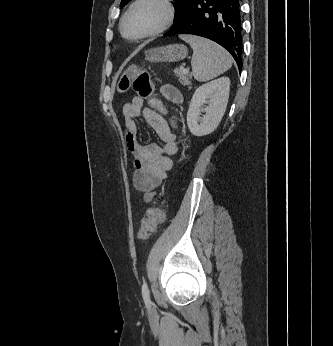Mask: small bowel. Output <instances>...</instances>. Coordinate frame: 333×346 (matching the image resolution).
Returning <instances> with one entry per match:
<instances>
[{
    "mask_svg": "<svg viewBox=\"0 0 333 346\" xmlns=\"http://www.w3.org/2000/svg\"><path fill=\"white\" fill-rule=\"evenodd\" d=\"M162 94L171 102L180 104L182 95L172 85H163ZM154 108L144 106L141 97H134L123 105V115L126 128V144L133 155L135 171L133 174L134 187L143 193L145 202H150L155 196V188L165 180L173 167L172 157L178 152L177 136L174 130L178 123L172 118L164 104L155 100ZM136 118H142L157 133L164 142L142 143Z\"/></svg>",
    "mask_w": 333,
    "mask_h": 346,
    "instance_id": "small-bowel-1",
    "label": "small bowel"
}]
</instances>
